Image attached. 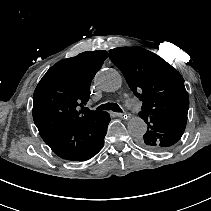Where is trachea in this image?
Returning a JSON list of instances; mask_svg holds the SVG:
<instances>
[{
	"instance_id": "obj_1",
	"label": "trachea",
	"mask_w": 211,
	"mask_h": 211,
	"mask_svg": "<svg viewBox=\"0 0 211 211\" xmlns=\"http://www.w3.org/2000/svg\"><path fill=\"white\" fill-rule=\"evenodd\" d=\"M97 110H112L117 113H122V109L117 103H105L96 108Z\"/></svg>"
}]
</instances>
